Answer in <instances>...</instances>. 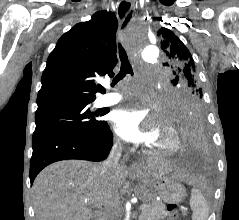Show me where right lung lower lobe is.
<instances>
[{
	"label": "right lung lower lobe",
	"mask_w": 239,
	"mask_h": 220,
	"mask_svg": "<svg viewBox=\"0 0 239 220\" xmlns=\"http://www.w3.org/2000/svg\"><path fill=\"white\" fill-rule=\"evenodd\" d=\"M113 144V134L106 124L93 134L63 130L34 132L30 161V181L47 165L66 159L101 161L107 158Z\"/></svg>",
	"instance_id": "1"
}]
</instances>
